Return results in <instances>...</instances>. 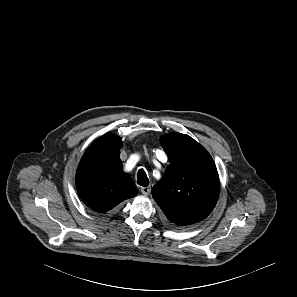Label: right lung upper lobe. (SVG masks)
Wrapping results in <instances>:
<instances>
[{
	"mask_svg": "<svg viewBox=\"0 0 297 297\" xmlns=\"http://www.w3.org/2000/svg\"><path fill=\"white\" fill-rule=\"evenodd\" d=\"M121 147L120 137L105 134L91 144L77 168L78 195L96 212H107L138 193L130 175L123 172Z\"/></svg>",
	"mask_w": 297,
	"mask_h": 297,
	"instance_id": "1",
	"label": "right lung upper lobe"
}]
</instances>
